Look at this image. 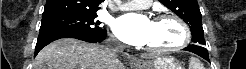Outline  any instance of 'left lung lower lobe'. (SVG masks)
<instances>
[{"label": "left lung lower lobe", "mask_w": 246, "mask_h": 69, "mask_svg": "<svg viewBox=\"0 0 246 69\" xmlns=\"http://www.w3.org/2000/svg\"><path fill=\"white\" fill-rule=\"evenodd\" d=\"M184 50L193 52V53L201 56L202 58H204L208 62H210L209 56H208V51L203 46H200V45H197V44H192V45H189L186 48H184Z\"/></svg>", "instance_id": "1"}]
</instances>
